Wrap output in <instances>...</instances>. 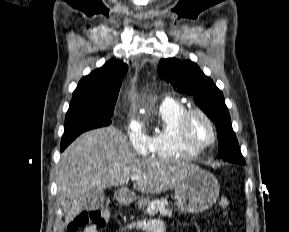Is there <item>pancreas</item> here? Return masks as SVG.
Here are the masks:
<instances>
[{
    "label": "pancreas",
    "mask_w": 289,
    "mask_h": 232,
    "mask_svg": "<svg viewBox=\"0 0 289 232\" xmlns=\"http://www.w3.org/2000/svg\"><path fill=\"white\" fill-rule=\"evenodd\" d=\"M145 214L154 215L160 213L162 216H171L172 210L168 207L167 199H156L147 205Z\"/></svg>",
    "instance_id": "cf45deb5"
}]
</instances>
